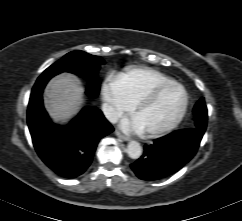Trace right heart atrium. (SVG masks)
I'll list each match as a JSON object with an SVG mask.
<instances>
[{
  "mask_svg": "<svg viewBox=\"0 0 242 221\" xmlns=\"http://www.w3.org/2000/svg\"><path fill=\"white\" fill-rule=\"evenodd\" d=\"M102 96L106 103V116L112 122L133 108V105L127 99L115 79H107L105 81L102 88Z\"/></svg>",
  "mask_w": 242,
  "mask_h": 221,
  "instance_id": "obj_1",
  "label": "right heart atrium"
}]
</instances>
